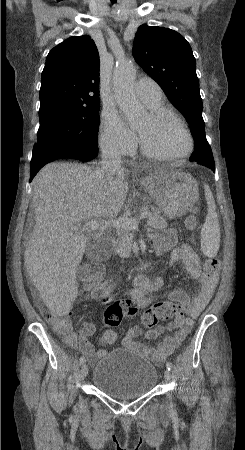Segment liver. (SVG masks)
I'll use <instances>...</instances> for the list:
<instances>
[{
  "label": "liver",
  "instance_id": "obj_1",
  "mask_svg": "<svg viewBox=\"0 0 245 450\" xmlns=\"http://www.w3.org/2000/svg\"><path fill=\"white\" fill-rule=\"evenodd\" d=\"M128 183L124 169L100 177L98 169L49 163L33 180L35 226L24 261L28 275L51 313H68L77 297L76 274L89 238L71 226L123 208Z\"/></svg>",
  "mask_w": 245,
  "mask_h": 450
}]
</instances>
